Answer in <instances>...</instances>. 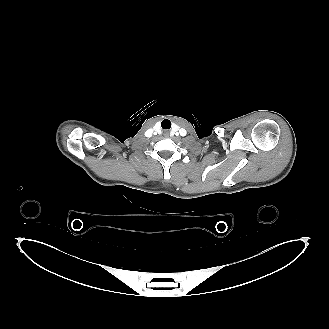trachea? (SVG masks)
Returning <instances> with one entry per match:
<instances>
[{"label":"trachea","mask_w":329,"mask_h":329,"mask_svg":"<svg viewBox=\"0 0 329 329\" xmlns=\"http://www.w3.org/2000/svg\"><path fill=\"white\" fill-rule=\"evenodd\" d=\"M161 126H162L163 129H170L171 128V122H170V120L164 119L161 122Z\"/></svg>","instance_id":"1"}]
</instances>
